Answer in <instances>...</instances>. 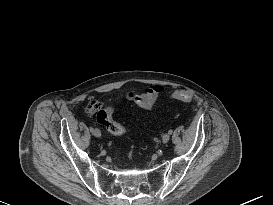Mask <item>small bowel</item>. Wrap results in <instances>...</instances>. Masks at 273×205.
Wrapping results in <instances>:
<instances>
[{"label": "small bowel", "mask_w": 273, "mask_h": 205, "mask_svg": "<svg viewBox=\"0 0 273 205\" xmlns=\"http://www.w3.org/2000/svg\"><path fill=\"white\" fill-rule=\"evenodd\" d=\"M163 92V86L155 85L143 93L128 92L124 99L135 103L145 110H150Z\"/></svg>", "instance_id": "c3829d8e"}]
</instances>
